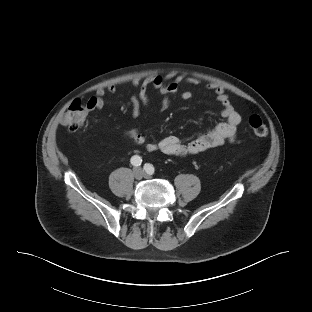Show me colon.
Returning a JSON list of instances; mask_svg holds the SVG:
<instances>
[{"mask_svg": "<svg viewBox=\"0 0 312 312\" xmlns=\"http://www.w3.org/2000/svg\"><path fill=\"white\" fill-rule=\"evenodd\" d=\"M88 116V107L81 101H73L61 119V124L70 129L78 130L83 125ZM249 127L254 135L258 137H265L268 133V129L262 118L258 115H253L248 121Z\"/></svg>", "mask_w": 312, "mask_h": 312, "instance_id": "colon-1", "label": "colon"}]
</instances>
